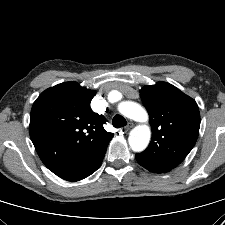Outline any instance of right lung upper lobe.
Instances as JSON below:
<instances>
[{"mask_svg":"<svg viewBox=\"0 0 225 225\" xmlns=\"http://www.w3.org/2000/svg\"><path fill=\"white\" fill-rule=\"evenodd\" d=\"M95 93L64 82L42 92L31 110L29 132L40 159L67 181L91 175L113 137L90 108Z\"/></svg>","mask_w":225,"mask_h":225,"instance_id":"1","label":"right lung upper lobe"}]
</instances>
